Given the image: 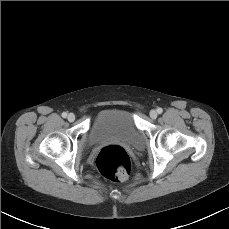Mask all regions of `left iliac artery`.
Masks as SVG:
<instances>
[{
  "label": "left iliac artery",
  "instance_id": "left-iliac-artery-1",
  "mask_svg": "<svg viewBox=\"0 0 229 229\" xmlns=\"http://www.w3.org/2000/svg\"><path fill=\"white\" fill-rule=\"evenodd\" d=\"M156 111H157L158 114H161L163 112V109L159 107V108H157Z\"/></svg>",
  "mask_w": 229,
  "mask_h": 229
}]
</instances>
